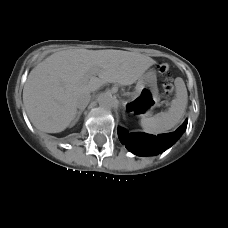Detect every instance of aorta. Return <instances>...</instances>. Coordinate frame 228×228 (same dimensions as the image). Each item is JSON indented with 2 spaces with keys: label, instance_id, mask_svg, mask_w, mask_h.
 I'll return each instance as SVG.
<instances>
[{
  "label": "aorta",
  "instance_id": "1",
  "mask_svg": "<svg viewBox=\"0 0 228 228\" xmlns=\"http://www.w3.org/2000/svg\"><path fill=\"white\" fill-rule=\"evenodd\" d=\"M99 106L104 109H112L115 105V100L109 93H101L98 98Z\"/></svg>",
  "mask_w": 228,
  "mask_h": 228
}]
</instances>
